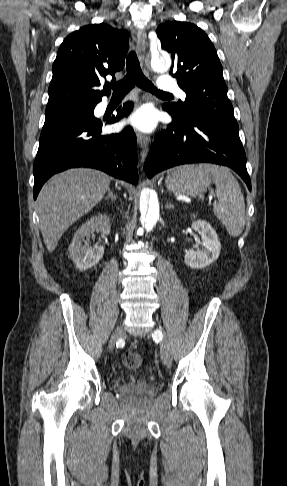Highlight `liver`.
Returning <instances> with one entry per match:
<instances>
[{"label": "liver", "mask_w": 287, "mask_h": 486, "mask_svg": "<svg viewBox=\"0 0 287 486\" xmlns=\"http://www.w3.org/2000/svg\"><path fill=\"white\" fill-rule=\"evenodd\" d=\"M111 177L89 168L69 169L53 176L37 198L40 230L49 252L63 233L104 197Z\"/></svg>", "instance_id": "obj_1"}]
</instances>
